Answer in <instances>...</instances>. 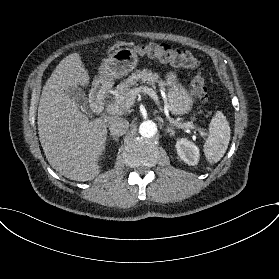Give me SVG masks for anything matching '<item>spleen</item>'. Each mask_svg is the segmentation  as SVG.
<instances>
[{
  "mask_svg": "<svg viewBox=\"0 0 279 279\" xmlns=\"http://www.w3.org/2000/svg\"><path fill=\"white\" fill-rule=\"evenodd\" d=\"M230 134L229 122L221 111H217L209 124V135L203 149L210 163H217L224 156Z\"/></svg>",
  "mask_w": 279,
  "mask_h": 279,
  "instance_id": "3e777b00",
  "label": "spleen"
}]
</instances>
